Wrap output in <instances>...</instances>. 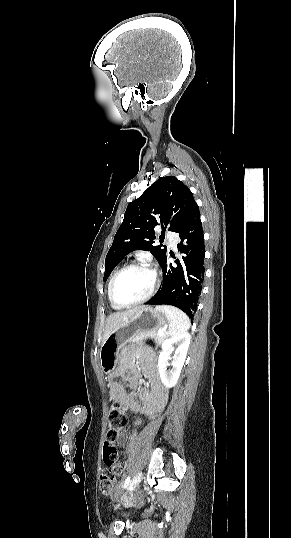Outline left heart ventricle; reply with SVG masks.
<instances>
[{"mask_svg":"<svg viewBox=\"0 0 291 538\" xmlns=\"http://www.w3.org/2000/svg\"><path fill=\"white\" fill-rule=\"evenodd\" d=\"M153 283L150 272L133 269L122 274L114 288L115 299L118 303H128L145 296Z\"/></svg>","mask_w":291,"mask_h":538,"instance_id":"obj_1","label":"left heart ventricle"}]
</instances>
